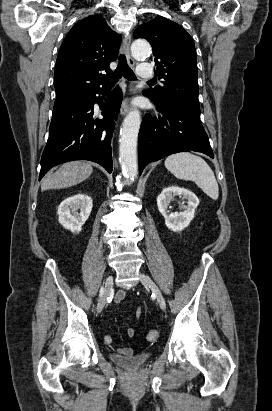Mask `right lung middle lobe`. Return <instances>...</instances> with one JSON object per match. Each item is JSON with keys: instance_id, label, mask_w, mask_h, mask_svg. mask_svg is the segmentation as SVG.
<instances>
[{"instance_id": "obj_1", "label": "right lung middle lobe", "mask_w": 272, "mask_h": 411, "mask_svg": "<svg viewBox=\"0 0 272 411\" xmlns=\"http://www.w3.org/2000/svg\"><path fill=\"white\" fill-rule=\"evenodd\" d=\"M76 102H78V101H73V102H69V103H63V104H58V105H54V110L53 111H56V110H59V109H62V108H65V107H67V106H69V105H72V104H74V103H76Z\"/></svg>"}]
</instances>
